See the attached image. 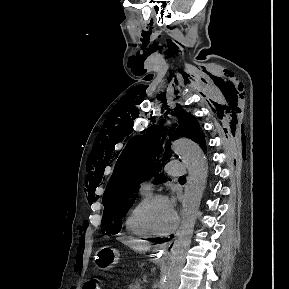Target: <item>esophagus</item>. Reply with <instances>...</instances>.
Wrapping results in <instances>:
<instances>
[{"mask_svg":"<svg viewBox=\"0 0 289 289\" xmlns=\"http://www.w3.org/2000/svg\"><path fill=\"white\" fill-rule=\"evenodd\" d=\"M172 241L164 242L156 247V252L158 253L160 258H166Z\"/></svg>","mask_w":289,"mask_h":289,"instance_id":"34e87169","label":"esophagus"}]
</instances>
